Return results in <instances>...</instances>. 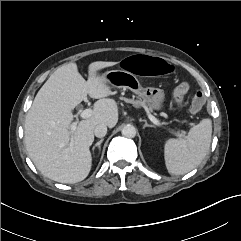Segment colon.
Here are the masks:
<instances>
[{"mask_svg": "<svg viewBox=\"0 0 241 241\" xmlns=\"http://www.w3.org/2000/svg\"><path fill=\"white\" fill-rule=\"evenodd\" d=\"M121 66L126 71L140 76L172 77L176 73V66L167 58L140 53L139 55L126 54L121 59ZM204 105V96L197 92L192 100L191 110L199 112Z\"/></svg>", "mask_w": 241, "mask_h": 241, "instance_id": "colon-1", "label": "colon"}]
</instances>
